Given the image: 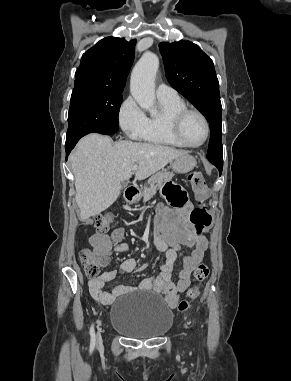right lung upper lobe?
Here are the masks:
<instances>
[{
  "label": "right lung upper lobe",
  "instance_id": "right-lung-upper-lobe-1",
  "mask_svg": "<svg viewBox=\"0 0 291 381\" xmlns=\"http://www.w3.org/2000/svg\"><path fill=\"white\" fill-rule=\"evenodd\" d=\"M136 39L106 37L86 51L75 73L74 88L123 91L134 60Z\"/></svg>",
  "mask_w": 291,
  "mask_h": 381
}]
</instances>
